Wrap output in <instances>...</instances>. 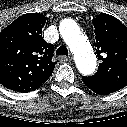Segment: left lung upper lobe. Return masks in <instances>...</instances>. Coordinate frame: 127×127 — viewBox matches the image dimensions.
I'll return each mask as SVG.
<instances>
[{"mask_svg":"<svg viewBox=\"0 0 127 127\" xmlns=\"http://www.w3.org/2000/svg\"><path fill=\"white\" fill-rule=\"evenodd\" d=\"M96 53L101 63L92 77L127 86V27L115 17L102 13L92 20Z\"/></svg>","mask_w":127,"mask_h":127,"instance_id":"1","label":"left lung upper lobe"}]
</instances>
